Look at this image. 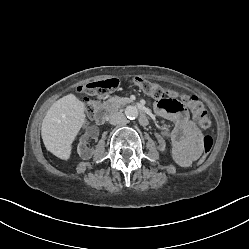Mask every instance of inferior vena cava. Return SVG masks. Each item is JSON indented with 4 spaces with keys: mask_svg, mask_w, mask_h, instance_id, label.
<instances>
[{
    "mask_svg": "<svg viewBox=\"0 0 249 249\" xmlns=\"http://www.w3.org/2000/svg\"><path fill=\"white\" fill-rule=\"evenodd\" d=\"M125 122H126V117L121 111L112 113L109 118V123L112 125H120L124 124Z\"/></svg>",
    "mask_w": 249,
    "mask_h": 249,
    "instance_id": "inferior-vena-cava-1",
    "label": "inferior vena cava"
}]
</instances>
